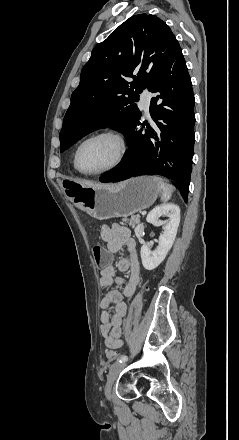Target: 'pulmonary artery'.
Masks as SVG:
<instances>
[{"mask_svg":"<svg viewBox=\"0 0 239 440\" xmlns=\"http://www.w3.org/2000/svg\"><path fill=\"white\" fill-rule=\"evenodd\" d=\"M151 98H152V94L151 93H149V92H144L142 95H141V101H140V105H141V108L145 111V112H148L149 111V105H150V102H151Z\"/></svg>","mask_w":239,"mask_h":440,"instance_id":"1","label":"pulmonary artery"}]
</instances>
